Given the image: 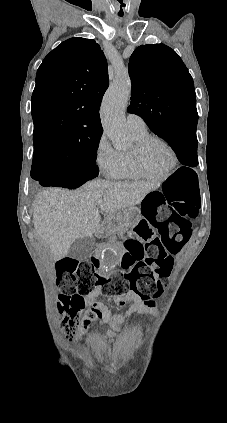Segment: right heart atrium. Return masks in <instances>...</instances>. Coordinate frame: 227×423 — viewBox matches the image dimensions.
<instances>
[{
  "mask_svg": "<svg viewBox=\"0 0 227 423\" xmlns=\"http://www.w3.org/2000/svg\"><path fill=\"white\" fill-rule=\"evenodd\" d=\"M95 162L99 171L110 179L120 177L121 160L105 133H101L95 146Z\"/></svg>",
  "mask_w": 227,
  "mask_h": 423,
  "instance_id": "d8ad5b80",
  "label": "right heart atrium"
}]
</instances>
